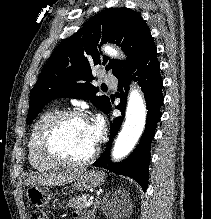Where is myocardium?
Masks as SVG:
<instances>
[{"instance_id": "f54148a6", "label": "myocardium", "mask_w": 211, "mask_h": 219, "mask_svg": "<svg viewBox=\"0 0 211 219\" xmlns=\"http://www.w3.org/2000/svg\"><path fill=\"white\" fill-rule=\"evenodd\" d=\"M77 119L86 121V115L78 110H65L53 115L41 128L37 138V149L40 155L55 165L81 167L92 163L99 154L96 145L90 155L84 159H70L63 155L56 145V134L59 128L68 120Z\"/></svg>"}]
</instances>
